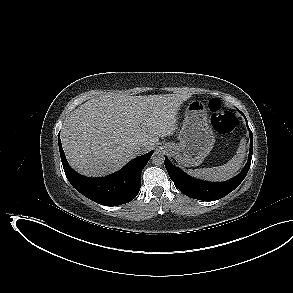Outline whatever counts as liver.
I'll use <instances>...</instances> for the list:
<instances>
[{
    "mask_svg": "<svg viewBox=\"0 0 293 293\" xmlns=\"http://www.w3.org/2000/svg\"><path fill=\"white\" fill-rule=\"evenodd\" d=\"M191 93L94 97L71 112L61 130L69 165L82 175L118 171L177 129V114ZM140 146V149L138 147Z\"/></svg>",
    "mask_w": 293,
    "mask_h": 293,
    "instance_id": "liver-1",
    "label": "liver"
}]
</instances>
